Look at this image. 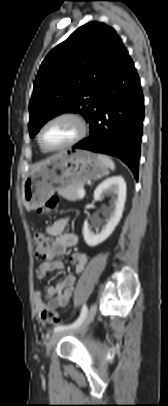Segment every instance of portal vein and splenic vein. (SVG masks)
Instances as JSON below:
<instances>
[{
    "label": "portal vein and splenic vein",
    "mask_w": 168,
    "mask_h": 406,
    "mask_svg": "<svg viewBox=\"0 0 168 406\" xmlns=\"http://www.w3.org/2000/svg\"><path fill=\"white\" fill-rule=\"evenodd\" d=\"M78 195H79L81 198H83L84 195H85V190H84V189H80V190L78 191Z\"/></svg>",
    "instance_id": "portal-vein-and-splenic-vein-1"
}]
</instances>
